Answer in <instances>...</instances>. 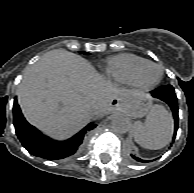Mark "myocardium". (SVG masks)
<instances>
[{"label":"myocardium","instance_id":"1","mask_svg":"<svg viewBox=\"0 0 194 193\" xmlns=\"http://www.w3.org/2000/svg\"><path fill=\"white\" fill-rule=\"evenodd\" d=\"M147 67H155L159 70L158 78L155 81L150 82V83L144 82L142 79L143 72ZM162 77H163L162 66L157 63L148 61V62L143 63L137 68L135 72L134 84L142 90H151L160 83Z\"/></svg>","mask_w":194,"mask_h":193}]
</instances>
